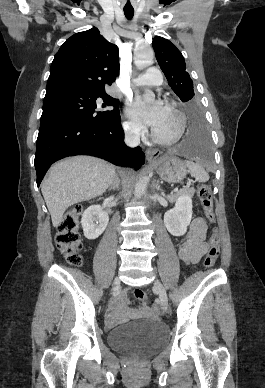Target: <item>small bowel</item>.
<instances>
[{"label":"small bowel","mask_w":265,"mask_h":388,"mask_svg":"<svg viewBox=\"0 0 265 388\" xmlns=\"http://www.w3.org/2000/svg\"><path fill=\"white\" fill-rule=\"evenodd\" d=\"M207 225L203 218H195L190 226L189 234L179 246V257L187 264L199 262L207 252L208 245L205 242ZM125 292L120 293L109 305L106 321L108 326H114L124 319L123 307L127 304Z\"/></svg>","instance_id":"obj_1"}]
</instances>
